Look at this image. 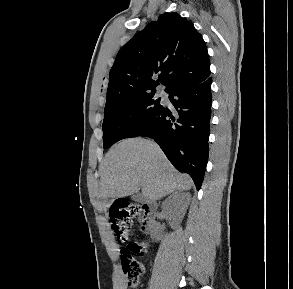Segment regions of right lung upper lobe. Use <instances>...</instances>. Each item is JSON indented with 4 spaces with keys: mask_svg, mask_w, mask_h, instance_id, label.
<instances>
[{
    "mask_svg": "<svg viewBox=\"0 0 293 289\" xmlns=\"http://www.w3.org/2000/svg\"><path fill=\"white\" fill-rule=\"evenodd\" d=\"M209 75L210 61L201 34L178 13L162 14L118 52L110 71L106 104L156 92L160 83L171 93L202 83Z\"/></svg>",
    "mask_w": 293,
    "mask_h": 289,
    "instance_id": "1",
    "label": "right lung upper lobe"
}]
</instances>
